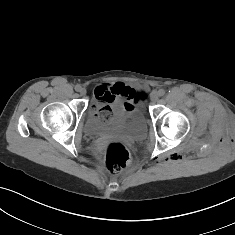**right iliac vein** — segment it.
<instances>
[{"instance_id": "1", "label": "right iliac vein", "mask_w": 235, "mask_h": 235, "mask_svg": "<svg viewBox=\"0 0 235 235\" xmlns=\"http://www.w3.org/2000/svg\"><path fill=\"white\" fill-rule=\"evenodd\" d=\"M79 93H80L81 95H85V94H86V89H85V88H81V89L79 90Z\"/></svg>"}]
</instances>
